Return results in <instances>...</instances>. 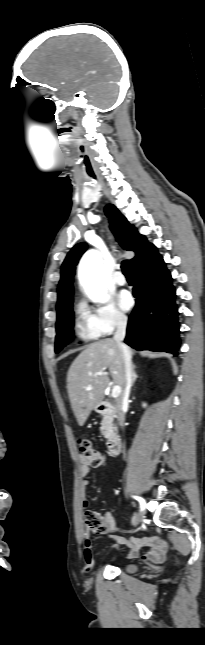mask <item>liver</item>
<instances>
[{
    "label": "liver",
    "instance_id": "liver-1",
    "mask_svg": "<svg viewBox=\"0 0 205 645\" xmlns=\"http://www.w3.org/2000/svg\"><path fill=\"white\" fill-rule=\"evenodd\" d=\"M106 369L112 375V382L123 389L125 373L122 352L114 339L110 338L87 345L68 370L67 391L79 426L85 424L91 411L104 398L111 381L106 375L99 376L97 373Z\"/></svg>",
    "mask_w": 205,
    "mask_h": 645
}]
</instances>
